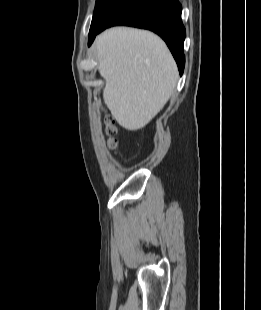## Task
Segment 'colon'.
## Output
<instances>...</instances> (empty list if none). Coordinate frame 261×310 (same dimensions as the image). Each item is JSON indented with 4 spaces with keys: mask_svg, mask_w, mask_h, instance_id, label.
I'll return each instance as SVG.
<instances>
[{
    "mask_svg": "<svg viewBox=\"0 0 261 310\" xmlns=\"http://www.w3.org/2000/svg\"><path fill=\"white\" fill-rule=\"evenodd\" d=\"M106 125H107V133L109 135L108 144L112 149H114L117 146V141L115 138L116 127L114 126L111 118L106 119Z\"/></svg>",
    "mask_w": 261,
    "mask_h": 310,
    "instance_id": "5ec220e1",
    "label": "colon"
}]
</instances>
